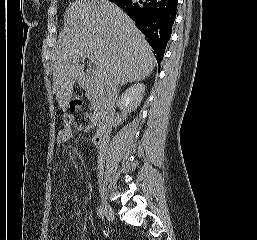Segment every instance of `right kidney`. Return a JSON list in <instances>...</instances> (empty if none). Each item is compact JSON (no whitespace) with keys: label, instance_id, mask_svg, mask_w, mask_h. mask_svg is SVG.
I'll use <instances>...</instances> for the list:
<instances>
[{"label":"right kidney","instance_id":"right-kidney-1","mask_svg":"<svg viewBox=\"0 0 257 240\" xmlns=\"http://www.w3.org/2000/svg\"><path fill=\"white\" fill-rule=\"evenodd\" d=\"M145 93V85L137 83L129 87L118 99L117 106L120 110L131 113L140 105Z\"/></svg>","mask_w":257,"mask_h":240}]
</instances>
